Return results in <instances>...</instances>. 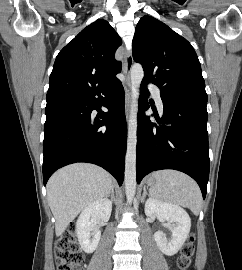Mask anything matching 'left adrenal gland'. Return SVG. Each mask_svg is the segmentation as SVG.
I'll return each mask as SVG.
<instances>
[{
  "instance_id": "obj_1",
  "label": "left adrenal gland",
  "mask_w": 242,
  "mask_h": 270,
  "mask_svg": "<svg viewBox=\"0 0 242 270\" xmlns=\"http://www.w3.org/2000/svg\"><path fill=\"white\" fill-rule=\"evenodd\" d=\"M146 195H147V191H146V189H144L141 202H144Z\"/></svg>"
}]
</instances>
